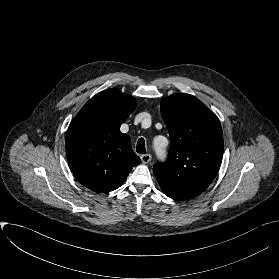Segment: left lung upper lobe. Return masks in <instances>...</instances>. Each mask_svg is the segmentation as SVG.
<instances>
[{"label": "left lung upper lobe", "mask_w": 279, "mask_h": 279, "mask_svg": "<svg viewBox=\"0 0 279 279\" xmlns=\"http://www.w3.org/2000/svg\"><path fill=\"white\" fill-rule=\"evenodd\" d=\"M171 147L166 163L153 172L163 192L190 199L217 175L223 157V133L217 116L196 97L178 93L161 101Z\"/></svg>", "instance_id": "obj_1"}]
</instances>
